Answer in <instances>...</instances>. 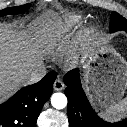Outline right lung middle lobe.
<instances>
[{
	"mask_svg": "<svg viewBox=\"0 0 127 127\" xmlns=\"http://www.w3.org/2000/svg\"><path fill=\"white\" fill-rule=\"evenodd\" d=\"M31 5L30 4H25L22 6L18 7H9L3 10H0V17L5 16L7 14H20L25 12Z\"/></svg>",
	"mask_w": 127,
	"mask_h": 127,
	"instance_id": "right-lung-middle-lobe-1",
	"label": "right lung middle lobe"
}]
</instances>
